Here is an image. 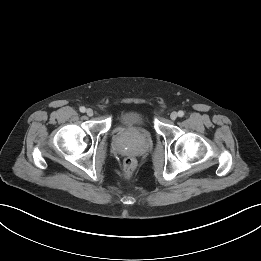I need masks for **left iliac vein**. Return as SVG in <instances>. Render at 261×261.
<instances>
[{
    "label": "left iliac vein",
    "instance_id": "4c4485c4",
    "mask_svg": "<svg viewBox=\"0 0 261 261\" xmlns=\"http://www.w3.org/2000/svg\"><path fill=\"white\" fill-rule=\"evenodd\" d=\"M177 116H178V114H177L176 112H172V113L170 114V118H171L172 120H175V119L177 118Z\"/></svg>",
    "mask_w": 261,
    "mask_h": 261
}]
</instances>
